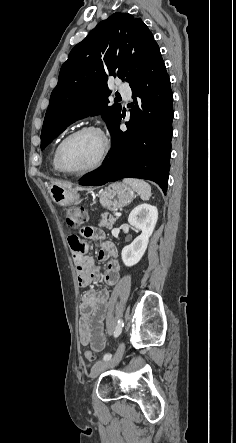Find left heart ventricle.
Returning <instances> with one entry per match:
<instances>
[{
    "label": "left heart ventricle",
    "mask_w": 236,
    "mask_h": 443,
    "mask_svg": "<svg viewBox=\"0 0 236 443\" xmlns=\"http://www.w3.org/2000/svg\"><path fill=\"white\" fill-rule=\"evenodd\" d=\"M102 150V140L94 132H84L70 139L63 148L62 159L66 168L83 170L93 166Z\"/></svg>",
    "instance_id": "obj_1"
}]
</instances>
